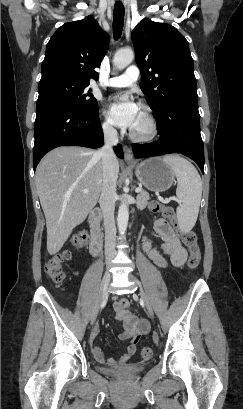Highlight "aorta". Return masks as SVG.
Returning a JSON list of instances; mask_svg holds the SVG:
<instances>
[{
  "mask_svg": "<svg viewBox=\"0 0 243 409\" xmlns=\"http://www.w3.org/2000/svg\"><path fill=\"white\" fill-rule=\"evenodd\" d=\"M134 59V52L131 48H124L116 52L113 59V65L117 69H124ZM129 220L128 204L123 201L118 209L117 225L118 231L121 236L126 232Z\"/></svg>",
  "mask_w": 243,
  "mask_h": 409,
  "instance_id": "1",
  "label": "aorta"
}]
</instances>
